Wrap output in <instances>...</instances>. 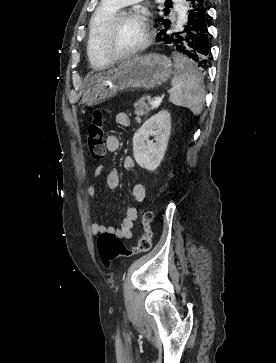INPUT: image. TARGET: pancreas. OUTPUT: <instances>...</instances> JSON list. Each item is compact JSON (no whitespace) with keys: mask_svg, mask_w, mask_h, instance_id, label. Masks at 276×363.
<instances>
[{"mask_svg":"<svg viewBox=\"0 0 276 363\" xmlns=\"http://www.w3.org/2000/svg\"><path fill=\"white\" fill-rule=\"evenodd\" d=\"M150 102H151L150 97H143L134 104V109H135V114H136L135 120L137 122L140 121V117L146 115L148 112L155 109V107L150 106L148 104Z\"/></svg>","mask_w":276,"mask_h":363,"instance_id":"cf45deb5","label":"pancreas"}]
</instances>
